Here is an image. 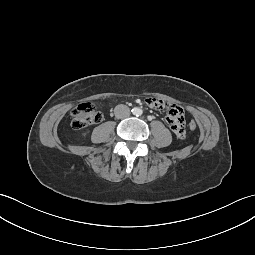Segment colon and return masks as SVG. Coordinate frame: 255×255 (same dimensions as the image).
<instances>
[{"mask_svg":"<svg viewBox=\"0 0 255 255\" xmlns=\"http://www.w3.org/2000/svg\"><path fill=\"white\" fill-rule=\"evenodd\" d=\"M182 109V108H181ZM183 110V109H182ZM103 119L102 112L98 109L97 105L91 102H85L79 104L72 111V127L75 129H81L91 124H96L101 122ZM196 122L189 121L188 128L190 131L196 130Z\"/></svg>","mask_w":255,"mask_h":255,"instance_id":"1","label":"colon"}]
</instances>
